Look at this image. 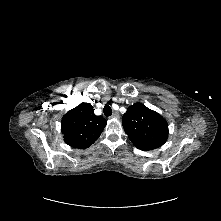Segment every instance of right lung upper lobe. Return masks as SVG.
<instances>
[{
    "mask_svg": "<svg viewBox=\"0 0 221 221\" xmlns=\"http://www.w3.org/2000/svg\"><path fill=\"white\" fill-rule=\"evenodd\" d=\"M105 126L106 120L94 114L91 104L81 103L63 116L61 132L66 144L86 149L99 138Z\"/></svg>",
    "mask_w": 221,
    "mask_h": 221,
    "instance_id": "obj_1",
    "label": "right lung upper lobe"
}]
</instances>
